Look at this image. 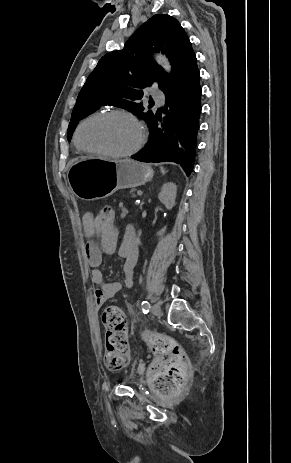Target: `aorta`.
Returning <instances> with one entry per match:
<instances>
[{
	"label": "aorta",
	"mask_w": 291,
	"mask_h": 463,
	"mask_svg": "<svg viewBox=\"0 0 291 463\" xmlns=\"http://www.w3.org/2000/svg\"><path fill=\"white\" fill-rule=\"evenodd\" d=\"M156 61L167 71L170 72L171 67L170 64L167 60V58L163 55H156L155 56Z\"/></svg>",
	"instance_id": "aorta-1"
}]
</instances>
